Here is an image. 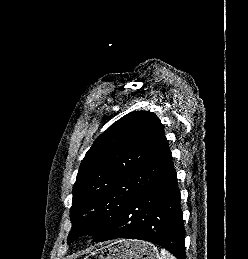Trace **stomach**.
Wrapping results in <instances>:
<instances>
[{
    "label": "stomach",
    "instance_id": "obj_1",
    "mask_svg": "<svg viewBox=\"0 0 248 259\" xmlns=\"http://www.w3.org/2000/svg\"><path fill=\"white\" fill-rule=\"evenodd\" d=\"M84 259H160V254L153 244L123 239L92 251Z\"/></svg>",
    "mask_w": 248,
    "mask_h": 259
}]
</instances>
